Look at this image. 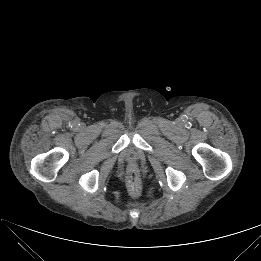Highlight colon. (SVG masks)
<instances>
[{
    "instance_id": "1",
    "label": "colon",
    "mask_w": 261,
    "mask_h": 261,
    "mask_svg": "<svg viewBox=\"0 0 261 261\" xmlns=\"http://www.w3.org/2000/svg\"><path fill=\"white\" fill-rule=\"evenodd\" d=\"M128 183L133 193H137L139 190V176L136 172H131L128 176Z\"/></svg>"
}]
</instances>
